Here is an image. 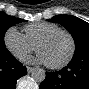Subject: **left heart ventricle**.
Segmentation results:
<instances>
[{"mask_svg":"<svg viewBox=\"0 0 89 89\" xmlns=\"http://www.w3.org/2000/svg\"><path fill=\"white\" fill-rule=\"evenodd\" d=\"M71 43L65 34H58L39 47L48 64H58L66 59L70 52Z\"/></svg>","mask_w":89,"mask_h":89,"instance_id":"1","label":"left heart ventricle"}]
</instances>
